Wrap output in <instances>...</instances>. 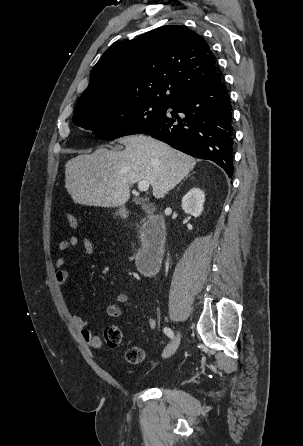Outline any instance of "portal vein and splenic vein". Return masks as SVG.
I'll return each mask as SVG.
<instances>
[{"label": "portal vein and splenic vein", "instance_id": "portal-vein-and-splenic-vein-1", "mask_svg": "<svg viewBox=\"0 0 303 446\" xmlns=\"http://www.w3.org/2000/svg\"><path fill=\"white\" fill-rule=\"evenodd\" d=\"M149 182L148 181H140L138 182V190L141 192H145L149 189Z\"/></svg>", "mask_w": 303, "mask_h": 446}]
</instances>
